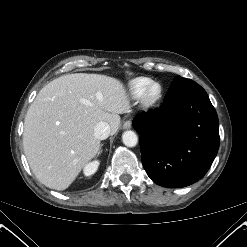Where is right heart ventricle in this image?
<instances>
[{
    "label": "right heart ventricle",
    "mask_w": 247,
    "mask_h": 247,
    "mask_svg": "<svg viewBox=\"0 0 247 247\" xmlns=\"http://www.w3.org/2000/svg\"><path fill=\"white\" fill-rule=\"evenodd\" d=\"M152 79L147 77H137L128 83V90L132 97H140L145 88L152 83Z\"/></svg>",
    "instance_id": "right-heart-ventricle-1"
}]
</instances>
